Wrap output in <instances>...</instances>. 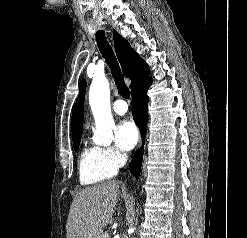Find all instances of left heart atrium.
Instances as JSON below:
<instances>
[{"instance_id":"39dd6f15","label":"left heart atrium","mask_w":247,"mask_h":238,"mask_svg":"<svg viewBox=\"0 0 247 238\" xmlns=\"http://www.w3.org/2000/svg\"><path fill=\"white\" fill-rule=\"evenodd\" d=\"M139 138L138 130L131 120L121 121L115 129V141L117 147L122 151L134 148Z\"/></svg>"}]
</instances>
